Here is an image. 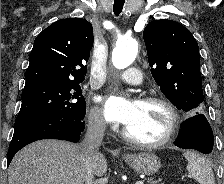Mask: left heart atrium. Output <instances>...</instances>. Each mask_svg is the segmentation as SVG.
<instances>
[{
  "label": "left heart atrium",
  "mask_w": 224,
  "mask_h": 184,
  "mask_svg": "<svg viewBox=\"0 0 224 184\" xmlns=\"http://www.w3.org/2000/svg\"><path fill=\"white\" fill-rule=\"evenodd\" d=\"M137 103L116 96L109 97L104 105L105 116L109 121L127 126L137 112Z\"/></svg>",
  "instance_id": "39dd6f15"
}]
</instances>
